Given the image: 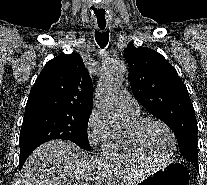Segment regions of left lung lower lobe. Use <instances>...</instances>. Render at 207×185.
Here are the masks:
<instances>
[{
    "instance_id": "left-lung-lower-lobe-1",
    "label": "left lung lower lobe",
    "mask_w": 207,
    "mask_h": 185,
    "mask_svg": "<svg viewBox=\"0 0 207 185\" xmlns=\"http://www.w3.org/2000/svg\"><path fill=\"white\" fill-rule=\"evenodd\" d=\"M190 162L194 165V167L196 169H198V158L197 159L190 160Z\"/></svg>"
}]
</instances>
